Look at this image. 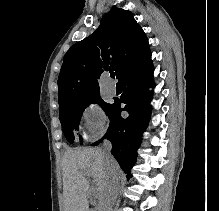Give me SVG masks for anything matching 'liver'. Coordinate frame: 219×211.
<instances>
[{"label":"liver","instance_id":"1","mask_svg":"<svg viewBox=\"0 0 219 211\" xmlns=\"http://www.w3.org/2000/svg\"><path fill=\"white\" fill-rule=\"evenodd\" d=\"M62 169L65 211H95L89 209L88 195L91 191L98 199V211H105L113 205L118 193L121 169L115 159L114 167H107L101 149L86 147L66 151ZM85 175L93 177L95 189H90ZM116 175L119 177L118 181L114 179Z\"/></svg>","mask_w":219,"mask_h":211}]
</instances>
